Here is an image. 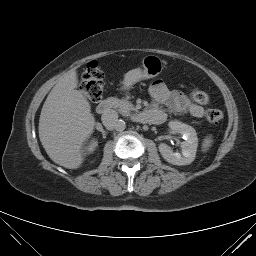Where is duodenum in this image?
Here are the masks:
<instances>
[{"label": "duodenum", "instance_id": "duodenum-1", "mask_svg": "<svg viewBox=\"0 0 256 256\" xmlns=\"http://www.w3.org/2000/svg\"><path fill=\"white\" fill-rule=\"evenodd\" d=\"M112 108V102L110 100H104L99 103L96 107L98 114H106ZM139 121L141 122H153L152 115L149 111L143 112L138 116Z\"/></svg>", "mask_w": 256, "mask_h": 256}]
</instances>
